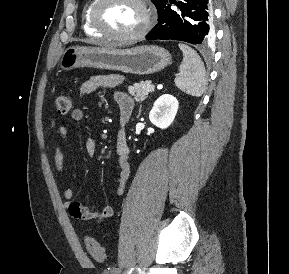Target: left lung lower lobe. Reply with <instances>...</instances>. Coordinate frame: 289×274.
<instances>
[{"label": "left lung lower lobe", "mask_w": 289, "mask_h": 274, "mask_svg": "<svg viewBox=\"0 0 289 274\" xmlns=\"http://www.w3.org/2000/svg\"><path fill=\"white\" fill-rule=\"evenodd\" d=\"M176 4L180 13L170 8ZM210 0H167L158 12V24L146 39H173L191 44H206L214 37Z\"/></svg>", "instance_id": "0a47b994"}]
</instances>
